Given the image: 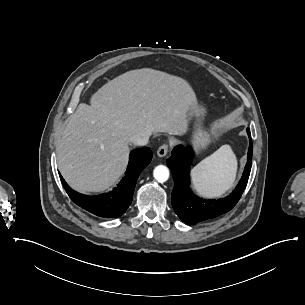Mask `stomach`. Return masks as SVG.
Here are the masks:
<instances>
[{
  "mask_svg": "<svg viewBox=\"0 0 305 305\" xmlns=\"http://www.w3.org/2000/svg\"><path fill=\"white\" fill-rule=\"evenodd\" d=\"M209 135L205 132H198L196 135H195V142L197 143V146L199 148H203L205 147L206 145L209 144Z\"/></svg>",
  "mask_w": 305,
  "mask_h": 305,
  "instance_id": "stomach-1",
  "label": "stomach"
}]
</instances>
